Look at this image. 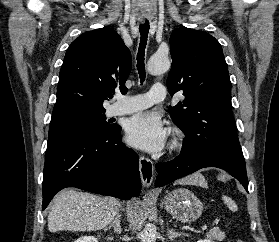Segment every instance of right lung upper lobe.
Masks as SVG:
<instances>
[{
	"label": "right lung upper lobe",
	"instance_id": "obj_1",
	"mask_svg": "<svg viewBox=\"0 0 279 242\" xmlns=\"http://www.w3.org/2000/svg\"><path fill=\"white\" fill-rule=\"evenodd\" d=\"M131 53L109 27L88 31L69 46L59 74L53 114L75 110L105 111L103 101L127 90Z\"/></svg>",
	"mask_w": 279,
	"mask_h": 242
}]
</instances>
